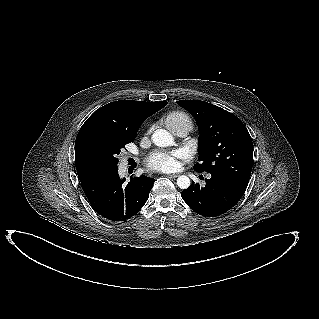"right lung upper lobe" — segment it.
<instances>
[{"label": "right lung upper lobe", "mask_w": 319, "mask_h": 319, "mask_svg": "<svg viewBox=\"0 0 319 319\" xmlns=\"http://www.w3.org/2000/svg\"><path fill=\"white\" fill-rule=\"evenodd\" d=\"M167 105V102H143L120 100L111 102L96 110L82 125L79 135L98 131L134 140L141 123ZM75 166L80 182L103 172L97 166L87 163L76 153Z\"/></svg>", "instance_id": "obj_1"}]
</instances>
